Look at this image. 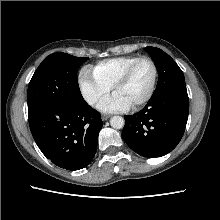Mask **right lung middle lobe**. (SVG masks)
<instances>
[{"instance_id":"obj_1","label":"right lung middle lobe","mask_w":220,"mask_h":220,"mask_svg":"<svg viewBox=\"0 0 220 220\" xmlns=\"http://www.w3.org/2000/svg\"><path fill=\"white\" fill-rule=\"evenodd\" d=\"M87 59L66 53L47 56L30 80L28 112L54 104L71 108L85 104L76 75Z\"/></svg>"}]
</instances>
